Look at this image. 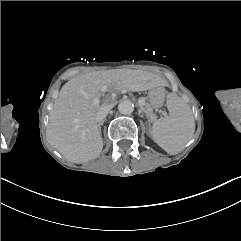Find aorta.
<instances>
[{
	"label": "aorta",
	"mask_w": 241,
	"mask_h": 241,
	"mask_svg": "<svg viewBox=\"0 0 241 241\" xmlns=\"http://www.w3.org/2000/svg\"><path fill=\"white\" fill-rule=\"evenodd\" d=\"M134 110V104L130 100H123L118 105V111L123 115H129Z\"/></svg>",
	"instance_id": "aorta-1"
}]
</instances>
